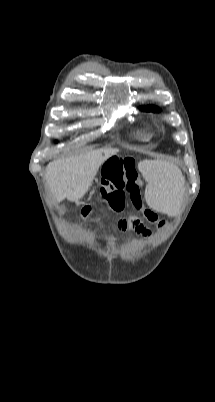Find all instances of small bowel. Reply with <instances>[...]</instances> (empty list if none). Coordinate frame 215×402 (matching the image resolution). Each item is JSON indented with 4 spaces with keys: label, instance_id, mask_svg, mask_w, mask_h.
<instances>
[{
    "label": "small bowel",
    "instance_id": "1",
    "mask_svg": "<svg viewBox=\"0 0 215 402\" xmlns=\"http://www.w3.org/2000/svg\"><path fill=\"white\" fill-rule=\"evenodd\" d=\"M133 229L135 231H137L138 233H140L141 235H143L144 237L152 236L151 231L148 228H146L140 221L137 222L136 227H134ZM121 230L127 231V230H130V228L129 229H121Z\"/></svg>",
    "mask_w": 215,
    "mask_h": 402
}]
</instances>
